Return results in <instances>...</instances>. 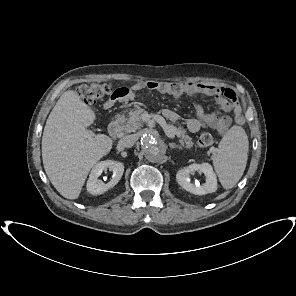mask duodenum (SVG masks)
I'll use <instances>...</instances> for the list:
<instances>
[{"mask_svg":"<svg viewBox=\"0 0 296 296\" xmlns=\"http://www.w3.org/2000/svg\"><path fill=\"white\" fill-rule=\"evenodd\" d=\"M120 131V125L118 119L114 118L108 125V132L111 137L116 138Z\"/></svg>","mask_w":296,"mask_h":296,"instance_id":"410a0bca","label":"duodenum"}]
</instances>
